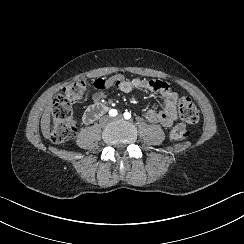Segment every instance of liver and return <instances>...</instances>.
<instances>
[{
    "label": "liver",
    "mask_w": 244,
    "mask_h": 244,
    "mask_svg": "<svg viewBox=\"0 0 244 244\" xmlns=\"http://www.w3.org/2000/svg\"><path fill=\"white\" fill-rule=\"evenodd\" d=\"M52 111V105H48L41 118V130L45 138L50 136V112Z\"/></svg>",
    "instance_id": "liver-1"
}]
</instances>
